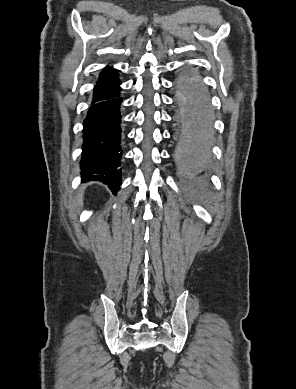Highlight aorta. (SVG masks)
<instances>
[{
  "mask_svg": "<svg viewBox=\"0 0 296 389\" xmlns=\"http://www.w3.org/2000/svg\"><path fill=\"white\" fill-rule=\"evenodd\" d=\"M182 89L178 94L180 139L173 149L177 167H191L199 172L212 162L213 133L211 130L212 94L205 81H198L196 72H181Z\"/></svg>",
  "mask_w": 296,
  "mask_h": 389,
  "instance_id": "obj_1",
  "label": "aorta"
}]
</instances>
